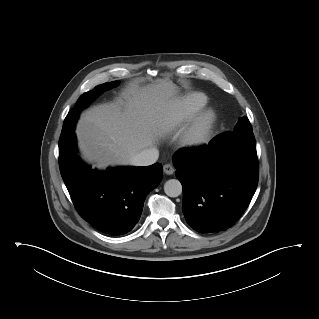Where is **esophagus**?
<instances>
[{
  "instance_id": "esophagus-1",
  "label": "esophagus",
  "mask_w": 319,
  "mask_h": 319,
  "mask_svg": "<svg viewBox=\"0 0 319 319\" xmlns=\"http://www.w3.org/2000/svg\"><path fill=\"white\" fill-rule=\"evenodd\" d=\"M163 170L167 175H172L175 171L174 167L171 164H165Z\"/></svg>"
}]
</instances>
